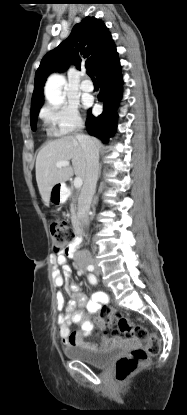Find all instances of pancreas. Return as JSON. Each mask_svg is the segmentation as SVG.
<instances>
[{
  "label": "pancreas",
  "instance_id": "obj_1",
  "mask_svg": "<svg viewBox=\"0 0 187 415\" xmlns=\"http://www.w3.org/2000/svg\"><path fill=\"white\" fill-rule=\"evenodd\" d=\"M70 211H71V220H72V224H73L74 226H78V224H79V222H78V216H77V214H76V211H75V208H74V205H73V204H71Z\"/></svg>",
  "mask_w": 187,
  "mask_h": 415
}]
</instances>
